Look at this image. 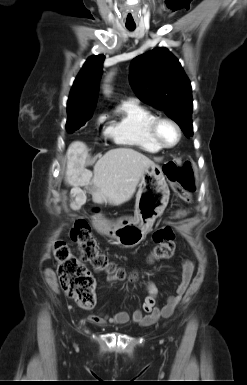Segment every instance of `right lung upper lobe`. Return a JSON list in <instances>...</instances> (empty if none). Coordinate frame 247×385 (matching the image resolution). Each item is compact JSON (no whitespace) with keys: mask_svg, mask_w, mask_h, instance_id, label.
Segmentation results:
<instances>
[{"mask_svg":"<svg viewBox=\"0 0 247 385\" xmlns=\"http://www.w3.org/2000/svg\"><path fill=\"white\" fill-rule=\"evenodd\" d=\"M104 55L91 56L83 65L72 86L67 109H94Z\"/></svg>","mask_w":247,"mask_h":385,"instance_id":"obj_1","label":"right lung upper lobe"}]
</instances>
